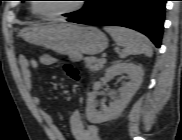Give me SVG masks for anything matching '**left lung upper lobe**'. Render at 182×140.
Instances as JSON below:
<instances>
[{"label":"left lung upper lobe","instance_id":"1","mask_svg":"<svg viewBox=\"0 0 182 140\" xmlns=\"http://www.w3.org/2000/svg\"><path fill=\"white\" fill-rule=\"evenodd\" d=\"M99 1L100 0H89L82 10L77 11L74 14H76V15L87 14L88 12H90L98 4ZM65 16L73 17V16H70V15H65Z\"/></svg>","mask_w":182,"mask_h":140}]
</instances>
